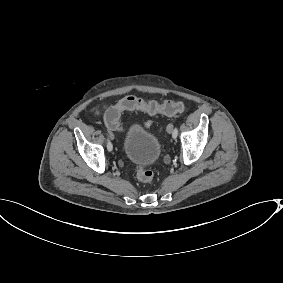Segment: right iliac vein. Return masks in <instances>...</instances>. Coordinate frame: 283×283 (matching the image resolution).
<instances>
[{
  "label": "right iliac vein",
  "mask_w": 283,
  "mask_h": 283,
  "mask_svg": "<svg viewBox=\"0 0 283 283\" xmlns=\"http://www.w3.org/2000/svg\"><path fill=\"white\" fill-rule=\"evenodd\" d=\"M110 136H111L112 139L114 138L113 134H111Z\"/></svg>",
  "instance_id": "1"
}]
</instances>
